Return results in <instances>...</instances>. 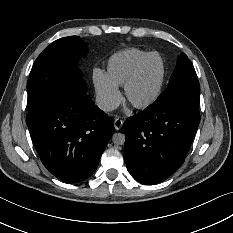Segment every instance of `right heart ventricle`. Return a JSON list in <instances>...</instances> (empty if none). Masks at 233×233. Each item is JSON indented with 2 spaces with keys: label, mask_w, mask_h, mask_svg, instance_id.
<instances>
[{
  "label": "right heart ventricle",
  "mask_w": 233,
  "mask_h": 233,
  "mask_svg": "<svg viewBox=\"0 0 233 233\" xmlns=\"http://www.w3.org/2000/svg\"><path fill=\"white\" fill-rule=\"evenodd\" d=\"M138 48H126L114 53L106 63V76L117 87H123L127 78L149 54Z\"/></svg>",
  "instance_id": "right-heart-ventricle-1"
}]
</instances>
